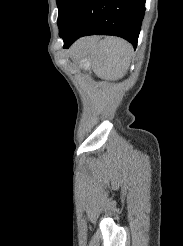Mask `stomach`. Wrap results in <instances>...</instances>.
<instances>
[{"label":"stomach","instance_id":"1","mask_svg":"<svg viewBox=\"0 0 183 246\" xmlns=\"http://www.w3.org/2000/svg\"><path fill=\"white\" fill-rule=\"evenodd\" d=\"M82 63L85 65L87 63H89V61L87 59L83 60Z\"/></svg>","mask_w":183,"mask_h":246}]
</instances>
